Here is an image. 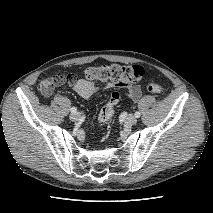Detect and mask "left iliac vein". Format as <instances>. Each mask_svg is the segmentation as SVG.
I'll return each mask as SVG.
<instances>
[{
	"instance_id": "1",
	"label": "left iliac vein",
	"mask_w": 213,
	"mask_h": 213,
	"mask_svg": "<svg viewBox=\"0 0 213 213\" xmlns=\"http://www.w3.org/2000/svg\"><path fill=\"white\" fill-rule=\"evenodd\" d=\"M136 122H137V119L134 115L130 114V115L127 116V118H126V124L127 125H134V124H136Z\"/></svg>"
}]
</instances>
